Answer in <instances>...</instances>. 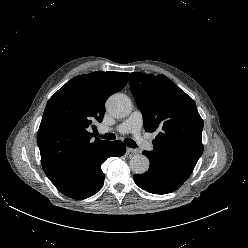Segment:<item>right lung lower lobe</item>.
<instances>
[{
  "instance_id": "right-lung-lower-lobe-1",
  "label": "right lung lower lobe",
  "mask_w": 248,
  "mask_h": 248,
  "mask_svg": "<svg viewBox=\"0 0 248 248\" xmlns=\"http://www.w3.org/2000/svg\"><path fill=\"white\" fill-rule=\"evenodd\" d=\"M125 145L117 141H107L96 149L76 156L55 178L50 179L64 195L80 200L97 193L104 183L101 164L110 156H122Z\"/></svg>"
}]
</instances>
